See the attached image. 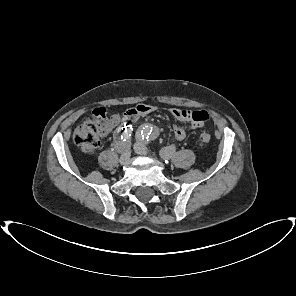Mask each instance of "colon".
I'll return each instance as SVG.
<instances>
[{"instance_id":"obj_1","label":"colon","mask_w":296,"mask_h":296,"mask_svg":"<svg viewBox=\"0 0 296 296\" xmlns=\"http://www.w3.org/2000/svg\"><path fill=\"white\" fill-rule=\"evenodd\" d=\"M108 131V117L104 108L94 110L91 118L79 125L73 134V140L82 151L93 152L100 144V138ZM211 135L203 132L199 136L201 145L209 143Z\"/></svg>"}]
</instances>
